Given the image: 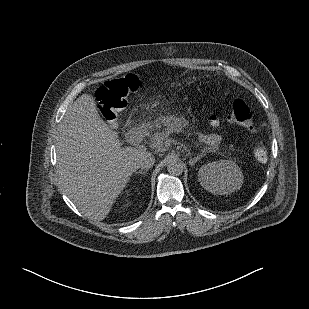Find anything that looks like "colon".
<instances>
[{"instance_id":"1","label":"colon","mask_w":309,"mask_h":309,"mask_svg":"<svg viewBox=\"0 0 309 309\" xmlns=\"http://www.w3.org/2000/svg\"><path fill=\"white\" fill-rule=\"evenodd\" d=\"M140 88L141 81L134 74H127L105 82L96 93L101 113L108 121L116 119L118 114L126 108L130 95ZM209 118L214 124L228 121L244 127L249 133L255 132L252 113L246 102L241 99L234 101L226 117L218 113H211ZM254 155L259 161H266L268 158L266 147L263 144H257L254 148Z\"/></svg>"}]
</instances>
